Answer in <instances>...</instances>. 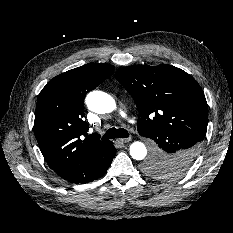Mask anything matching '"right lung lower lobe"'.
<instances>
[{
	"instance_id": "obj_1",
	"label": "right lung lower lobe",
	"mask_w": 233,
	"mask_h": 233,
	"mask_svg": "<svg viewBox=\"0 0 233 233\" xmlns=\"http://www.w3.org/2000/svg\"><path fill=\"white\" fill-rule=\"evenodd\" d=\"M116 154L112 142L100 155L91 157L78 167L69 170L62 178L71 183H88L101 177L111 165Z\"/></svg>"
}]
</instances>
